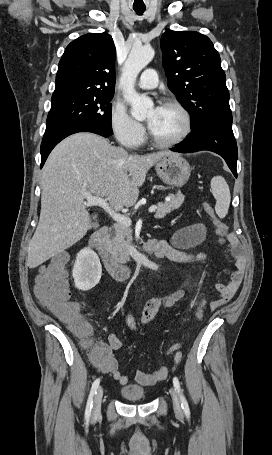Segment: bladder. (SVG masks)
<instances>
[{
	"mask_svg": "<svg viewBox=\"0 0 272 455\" xmlns=\"http://www.w3.org/2000/svg\"><path fill=\"white\" fill-rule=\"evenodd\" d=\"M120 394L124 399L132 402L142 401L146 396L145 390L141 386L135 384L123 386L120 389Z\"/></svg>",
	"mask_w": 272,
	"mask_h": 455,
	"instance_id": "1",
	"label": "bladder"
}]
</instances>
